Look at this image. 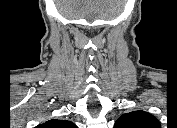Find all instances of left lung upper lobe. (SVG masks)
<instances>
[{
  "label": "left lung upper lobe",
  "mask_w": 177,
  "mask_h": 128,
  "mask_svg": "<svg viewBox=\"0 0 177 128\" xmlns=\"http://www.w3.org/2000/svg\"><path fill=\"white\" fill-rule=\"evenodd\" d=\"M159 128V121L145 111H132L121 115L114 128Z\"/></svg>",
  "instance_id": "left-lung-upper-lobe-1"
}]
</instances>
